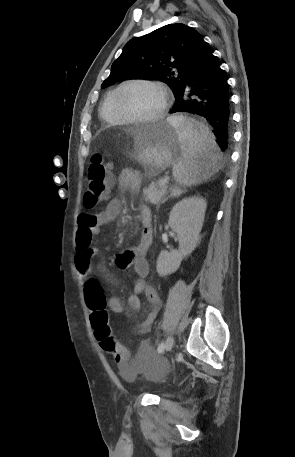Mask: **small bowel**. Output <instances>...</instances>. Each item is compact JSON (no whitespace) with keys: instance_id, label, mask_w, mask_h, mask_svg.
I'll return each instance as SVG.
<instances>
[{"instance_id":"c3829d8e","label":"small bowel","mask_w":295,"mask_h":457,"mask_svg":"<svg viewBox=\"0 0 295 457\" xmlns=\"http://www.w3.org/2000/svg\"><path fill=\"white\" fill-rule=\"evenodd\" d=\"M118 186L122 191L138 192L141 186L139 174L130 169L122 170L118 177ZM121 209V202L117 199H112L101 212L97 214L82 213L78 216L79 229L76 236L77 255L75 269L78 278L85 285L89 280L94 279L92 261L97 254V249L92 246V239L100 233L103 225L117 220ZM139 220L142 224V232L138 244L118 253L114 262L122 270L133 268L136 275L132 293L128 298V306L131 309H138L141 305L142 295H145L150 304L151 308L146 319L137 327L139 332H146L157 316L160 302L156 290L145 280L149 270L146 254L153 240L151 211L146 205L139 206ZM106 303L114 313H122L124 311V306L117 297H109ZM121 347L123 346L121 345ZM124 350L127 351L125 348ZM125 361L121 360L119 364L121 365Z\"/></svg>"}]
</instances>
